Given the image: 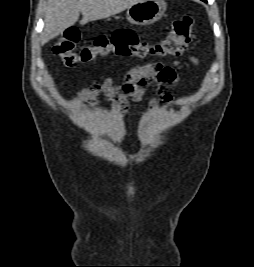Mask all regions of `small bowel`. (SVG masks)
<instances>
[{"mask_svg":"<svg viewBox=\"0 0 254 267\" xmlns=\"http://www.w3.org/2000/svg\"><path fill=\"white\" fill-rule=\"evenodd\" d=\"M189 59L193 64H198L195 57L191 56ZM180 67L178 61L173 62L171 66L162 63L137 65L125 73L122 86H115L111 79H107L102 84L78 91L73 102L78 108H81L84 102L95 105L102 95L112 103L115 115L124 117L129 103L140 102L150 86L155 84V96L149 101L147 111V114H151L159 106L169 107L173 103V96L164 87L178 83Z\"/></svg>","mask_w":254,"mask_h":267,"instance_id":"small-bowel-1","label":"small bowel"}]
</instances>
